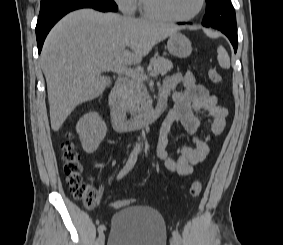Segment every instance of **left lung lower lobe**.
I'll return each instance as SVG.
<instances>
[{
	"instance_id": "obj_1",
	"label": "left lung lower lobe",
	"mask_w": 283,
	"mask_h": 245,
	"mask_svg": "<svg viewBox=\"0 0 283 245\" xmlns=\"http://www.w3.org/2000/svg\"><path fill=\"white\" fill-rule=\"evenodd\" d=\"M179 24H181V23H179ZM218 30L223 32L229 38V40L231 41V43H232V45L234 47V51L236 52L237 51V46H238L237 33H231V32L225 31L223 29H218Z\"/></svg>"
}]
</instances>
